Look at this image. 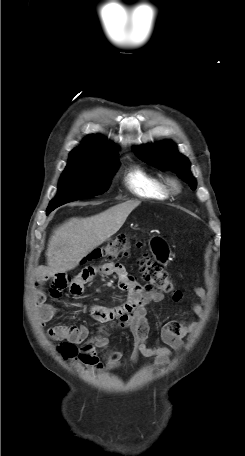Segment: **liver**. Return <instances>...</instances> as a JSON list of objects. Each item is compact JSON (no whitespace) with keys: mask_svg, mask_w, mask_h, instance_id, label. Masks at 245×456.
<instances>
[{"mask_svg":"<svg viewBox=\"0 0 245 456\" xmlns=\"http://www.w3.org/2000/svg\"><path fill=\"white\" fill-rule=\"evenodd\" d=\"M140 205L129 200L88 218H71L56 228L47 247L44 274L66 272L79 265L93 249L122 227L128 215Z\"/></svg>","mask_w":245,"mask_h":456,"instance_id":"6515ba94","label":"liver"}]
</instances>
